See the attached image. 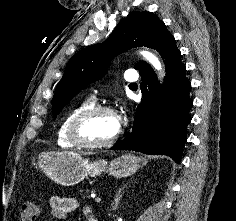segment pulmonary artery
<instances>
[{
	"label": "pulmonary artery",
	"mask_w": 236,
	"mask_h": 221,
	"mask_svg": "<svg viewBox=\"0 0 236 221\" xmlns=\"http://www.w3.org/2000/svg\"><path fill=\"white\" fill-rule=\"evenodd\" d=\"M124 79H125L127 82H130V83H131V82H135V81L138 79V77H137V75H135L133 72L128 71V72L125 73Z\"/></svg>",
	"instance_id": "pulmonary-artery-1"
}]
</instances>
